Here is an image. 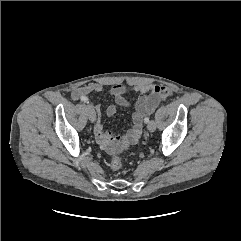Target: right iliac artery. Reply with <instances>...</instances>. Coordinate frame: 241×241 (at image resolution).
Instances as JSON below:
<instances>
[{
    "label": "right iliac artery",
    "mask_w": 241,
    "mask_h": 241,
    "mask_svg": "<svg viewBox=\"0 0 241 241\" xmlns=\"http://www.w3.org/2000/svg\"><path fill=\"white\" fill-rule=\"evenodd\" d=\"M81 101L88 103V98L87 97H81Z\"/></svg>",
    "instance_id": "82829eb1"
}]
</instances>
